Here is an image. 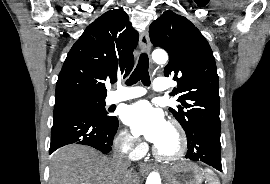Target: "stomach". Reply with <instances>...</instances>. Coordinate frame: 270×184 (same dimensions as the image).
Returning <instances> with one entry per match:
<instances>
[{
    "instance_id": "1",
    "label": "stomach",
    "mask_w": 270,
    "mask_h": 184,
    "mask_svg": "<svg viewBox=\"0 0 270 184\" xmlns=\"http://www.w3.org/2000/svg\"><path fill=\"white\" fill-rule=\"evenodd\" d=\"M168 184H201L204 177L199 167L192 162H180L165 171Z\"/></svg>"
}]
</instances>
